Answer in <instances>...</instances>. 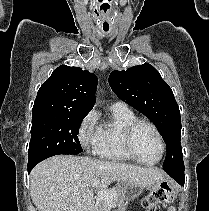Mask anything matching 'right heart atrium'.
Returning <instances> with one entry per match:
<instances>
[{
    "label": "right heart atrium",
    "instance_id": "d8ad5b80",
    "mask_svg": "<svg viewBox=\"0 0 209 211\" xmlns=\"http://www.w3.org/2000/svg\"><path fill=\"white\" fill-rule=\"evenodd\" d=\"M100 137V126L95 111L88 112L78 128V139L84 149H94Z\"/></svg>",
    "mask_w": 209,
    "mask_h": 211
}]
</instances>
